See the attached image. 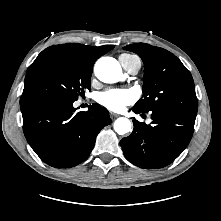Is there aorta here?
<instances>
[{
	"label": "aorta",
	"instance_id": "762f6f07",
	"mask_svg": "<svg viewBox=\"0 0 221 221\" xmlns=\"http://www.w3.org/2000/svg\"><path fill=\"white\" fill-rule=\"evenodd\" d=\"M94 72L97 78L105 83H115L122 77L120 64L111 57L100 58L95 64ZM131 127V121L125 117H120L114 122V129L120 135L130 132Z\"/></svg>",
	"mask_w": 221,
	"mask_h": 221
}]
</instances>
